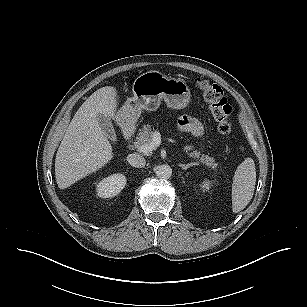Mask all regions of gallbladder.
Masks as SVG:
<instances>
[{
    "mask_svg": "<svg viewBox=\"0 0 307 307\" xmlns=\"http://www.w3.org/2000/svg\"><path fill=\"white\" fill-rule=\"evenodd\" d=\"M97 120H98L99 126L101 127L105 135L108 138H110L112 141H116V133H115V130L113 128V125L109 117H107L104 114L99 113L97 114Z\"/></svg>",
    "mask_w": 307,
    "mask_h": 307,
    "instance_id": "gallbladder-1",
    "label": "gallbladder"
}]
</instances>
